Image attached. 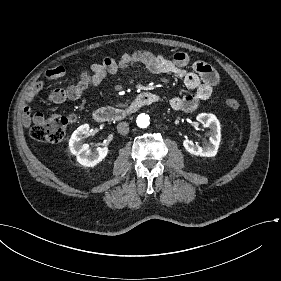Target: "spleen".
Returning <instances> with one entry per match:
<instances>
[{"label": "spleen", "instance_id": "3e777b00", "mask_svg": "<svg viewBox=\"0 0 281 281\" xmlns=\"http://www.w3.org/2000/svg\"><path fill=\"white\" fill-rule=\"evenodd\" d=\"M235 145H236V137H233V139H232V145H231L232 150L234 149Z\"/></svg>", "mask_w": 281, "mask_h": 281}]
</instances>
